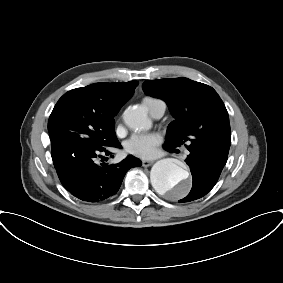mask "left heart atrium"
<instances>
[{
    "label": "left heart atrium",
    "mask_w": 283,
    "mask_h": 283,
    "mask_svg": "<svg viewBox=\"0 0 283 283\" xmlns=\"http://www.w3.org/2000/svg\"><path fill=\"white\" fill-rule=\"evenodd\" d=\"M162 138L159 134H137L125 142V149L128 153L142 159H151L157 154V147Z\"/></svg>",
    "instance_id": "left-heart-atrium-1"
}]
</instances>
